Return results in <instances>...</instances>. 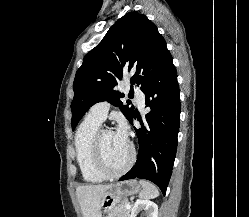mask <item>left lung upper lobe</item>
<instances>
[{
    "instance_id": "left-lung-upper-lobe-1",
    "label": "left lung upper lobe",
    "mask_w": 249,
    "mask_h": 217,
    "mask_svg": "<svg viewBox=\"0 0 249 217\" xmlns=\"http://www.w3.org/2000/svg\"><path fill=\"white\" fill-rule=\"evenodd\" d=\"M170 55L166 42L157 27L144 15L127 13L110 27L102 41L84 57L73 83L75 96L71 103L72 130L95 103L108 101L119 106L125 117L132 121L134 107L123 95L114 91L127 64L135 68L132 84L144 91L166 58ZM132 89V88H131Z\"/></svg>"
}]
</instances>
